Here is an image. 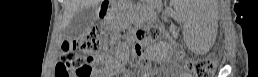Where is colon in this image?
Listing matches in <instances>:
<instances>
[{"label": "colon", "instance_id": "colon-1", "mask_svg": "<svg viewBox=\"0 0 258 77\" xmlns=\"http://www.w3.org/2000/svg\"><path fill=\"white\" fill-rule=\"evenodd\" d=\"M164 38L167 36L159 26L150 25L142 31L135 45L144 55L152 43ZM104 45L109 47L111 54L120 53L124 47L119 40L109 44L104 40V33L96 28L68 44L56 65L55 77H96L101 64L99 53ZM141 63L146 65V59L142 57ZM187 66L196 77H209L214 73L216 64L210 58H201L189 61Z\"/></svg>", "mask_w": 258, "mask_h": 77}]
</instances>
